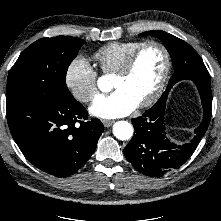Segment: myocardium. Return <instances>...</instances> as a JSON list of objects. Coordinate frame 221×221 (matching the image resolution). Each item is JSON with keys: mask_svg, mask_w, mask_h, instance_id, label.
I'll list each match as a JSON object with an SVG mask.
<instances>
[{"mask_svg": "<svg viewBox=\"0 0 221 221\" xmlns=\"http://www.w3.org/2000/svg\"><path fill=\"white\" fill-rule=\"evenodd\" d=\"M151 46L158 47L162 51L163 56H164V68H163V72H162V75H161V78L159 80L157 87L155 88L154 92L146 100L138 104V107L140 108L148 107L154 104L160 98V96L162 95L165 89V86L169 77V73L171 70V57H170V53L167 47L159 41L144 42L142 45L137 47L132 53L129 54V56L125 59L121 67L115 72V76H120V77L128 76L133 70L136 60L139 57V55L145 49Z\"/></svg>", "mask_w": 221, "mask_h": 221, "instance_id": "obj_1", "label": "myocardium"}]
</instances>
